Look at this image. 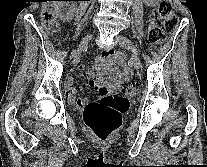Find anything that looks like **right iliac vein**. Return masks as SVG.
Wrapping results in <instances>:
<instances>
[{"mask_svg": "<svg viewBox=\"0 0 207 167\" xmlns=\"http://www.w3.org/2000/svg\"><path fill=\"white\" fill-rule=\"evenodd\" d=\"M92 35H87L83 38L81 41L79 47L75 52L73 53V64H76L80 58L81 52L84 50V48L87 46V44L91 41Z\"/></svg>", "mask_w": 207, "mask_h": 167, "instance_id": "right-iliac-vein-1", "label": "right iliac vein"}]
</instances>
